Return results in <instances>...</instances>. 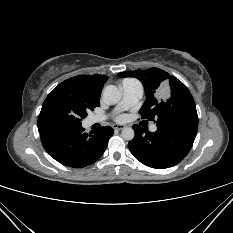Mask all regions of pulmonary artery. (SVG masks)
<instances>
[{
	"mask_svg": "<svg viewBox=\"0 0 233 233\" xmlns=\"http://www.w3.org/2000/svg\"><path fill=\"white\" fill-rule=\"evenodd\" d=\"M122 91V99L118 106V110L129 108L135 105L143 95V86L139 81L136 80H124L120 84ZM103 118L100 116H92L90 118L91 123L102 121ZM157 130L156 124L150 126V131L155 132Z\"/></svg>",
	"mask_w": 233,
	"mask_h": 233,
	"instance_id": "1",
	"label": "pulmonary artery"
}]
</instances>
